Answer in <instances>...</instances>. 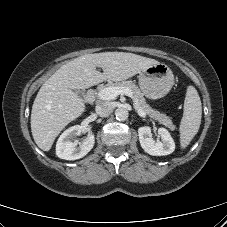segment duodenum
Segmentation results:
<instances>
[{
	"label": "duodenum",
	"mask_w": 227,
	"mask_h": 227,
	"mask_svg": "<svg viewBox=\"0 0 227 227\" xmlns=\"http://www.w3.org/2000/svg\"><path fill=\"white\" fill-rule=\"evenodd\" d=\"M87 99L89 102H94L95 100V92L94 90H89L88 93H87Z\"/></svg>",
	"instance_id": "1"
}]
</instances>
